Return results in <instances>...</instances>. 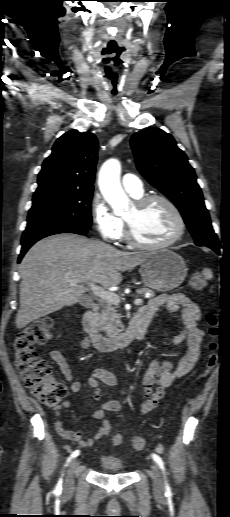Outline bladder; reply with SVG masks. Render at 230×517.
I'll return each instance as SVG.
<instances>
[{
    "mask_svg": "<svg viewBox=\"0 0 230 517\" xmlns=\"http://www.w3.org/2000/svg\"><path fill=\"white\" fill-rule=\"evenodd\" d=\"M102 470L113 473H121L124 469V464L121 460L109 455H102L99 460Z\"/></svg>",
    "mask_w": 230,
    "mask_h": 517,
    "instance_id": "1",
    "label": "bladder"
}]
</instances>
